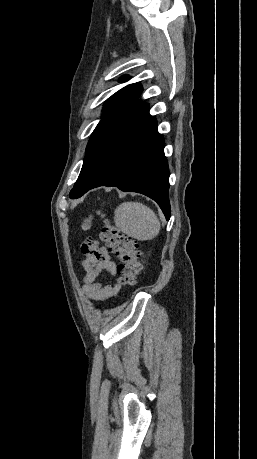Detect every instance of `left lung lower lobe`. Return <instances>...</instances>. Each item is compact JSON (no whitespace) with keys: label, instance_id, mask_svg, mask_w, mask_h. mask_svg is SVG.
Here are the masks:
<instances>
[{"label":"left lung lower lobe","instance_id":"0a47b994","mask_svg":"<svg viewBox=\"0 0 257 459\" xmlns=\"http://www.w3.org/2000/svg\"><path fill=\"white\" fill-rule=\"evenodd\" d=\"M163 149L164 139L157 131L156 119L149 114V105L136 102L107 131L100 166L88 190L116 186L125 192L142 193L155 200L169 220V170Z\"/></svg>","mask_w":257,"mask_h":459}]
</instances>
